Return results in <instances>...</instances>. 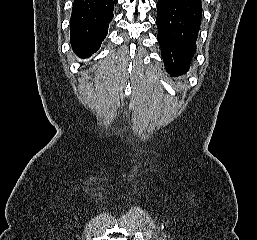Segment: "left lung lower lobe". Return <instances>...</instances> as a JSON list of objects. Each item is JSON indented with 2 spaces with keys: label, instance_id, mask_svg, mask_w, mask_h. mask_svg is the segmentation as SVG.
Instances as JSON below:
<instances>
[{
  "label": "left lung lower lobe",
  "instance_id": "left-lung-lower-lobe-1",
  "mask_svg": "<svg viewBox=\"0 0 257 240\" xmlns=\"http://www.w3.org/2000/svg\"><path fill=\"white\" fill-rule=\"evenodd\" d=\"M201 21V0H158L157 38L170 75L188 70L196 52Z\"/></svg>",
  "mask_w": 257,
  "mask_h": 240
}]
</instances>
